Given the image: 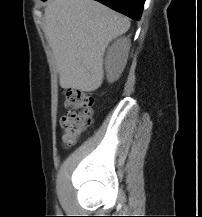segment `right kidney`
<instances>
[{
  "instance_id": "obj_1",
  "label": "right kidney",
  "mask_w": 202,
  "mask_h": 217,
  "mask_svg": "<svg viewBox=\"0 0 202 217\" xmlns=\"http://www.w3.org/2000/svg\"><path fill=\"white\" fill-rule=\"evenodd\" d=\"M131 42L128 37H121L114 41L108 49L105 59V69L108 82L116 81L123 72L130 50Z\"/></svg>"
}]
</instances>
